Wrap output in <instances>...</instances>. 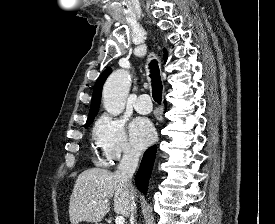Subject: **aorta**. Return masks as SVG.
<instances>
[{
  "instance_id": "aorta-1",
  "label": "aorta",
  "mask_w": 275,
  "mask_h": 224,
  "mask_svg": "<svg viewBox=\"0 0 275 224\" xmlns=\"http://www.w3.org/2000/svg\"><path fill=\"white\" fill-rule=\"evenodd\" d=\"M130 85V74L124 69L113 72L107 79L103 87V105L110 115L123 112Z\"/></svg>"
}]
</instances>
